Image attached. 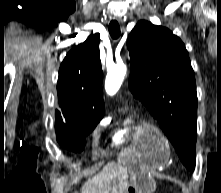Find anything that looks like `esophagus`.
<instances>
[{
    "label": "esophagus",
    "instance_id": "34e87169",
    "mask_svg": "<svg viewBox=\"0 0 221 193\" xmlns=\"http://www.w3.org/2000/svg\"><path fill=\"white\" fill-rule=\"evenodd\" d=\"M116 20H118L119 22H122V19H120V18H116Z\"/></svg>",
    "mask_w": 221,
    "mask_h": 193
}]
</instances>
